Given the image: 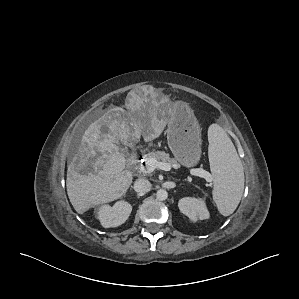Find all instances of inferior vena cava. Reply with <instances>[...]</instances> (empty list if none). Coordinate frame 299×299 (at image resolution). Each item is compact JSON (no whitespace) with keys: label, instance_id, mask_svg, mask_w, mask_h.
<instances>
[{"label":"inferior vena cava","instance_id":"1","mask_svg":"<svg viewBox=\"0 0 299 299\" xmlns=\"http://www.w3.org/2000/svg\"><path fill=\"white\" fill-rule=\"evenodd\" d=\"M151 188L152 184L150 183V181L144 178L137 179L134 183V190L137 193H146L150 191Z\"/></svg>","mask_w":299,"mask_h":299}]
</instances>
